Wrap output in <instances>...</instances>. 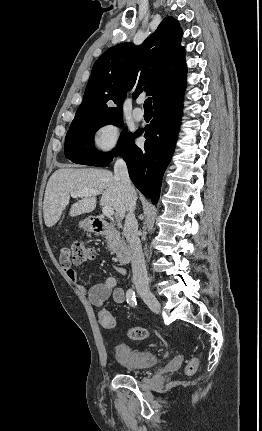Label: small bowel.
<instances>
[{
    "label": "small bowel",
    "mask_w": 262,
    "mask_h": 431,
    "mask_svg": "<svg viewBox=\"0 0 262 431\" xmlns=\"http://www.w3.org/2000/svg\"><path fill=\"white\" fill-rule=\"evenodd\" d=\"M61 266L72 283L80 284V277L78 272L72 267L70 262L61 261ZM116 271L120 275H126V269L122 266H116ZM117 279L115 277L106 278L104 281L93 285L87 291L89 302L100 309L104 308L105 303L111 298L116 304H124L127 301V292L123 288H117ZM182 361V357H179Z\"/></svg>",
    "instance_id": "1"
}]
</instances>
